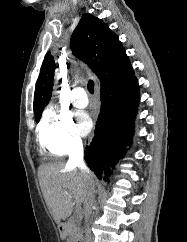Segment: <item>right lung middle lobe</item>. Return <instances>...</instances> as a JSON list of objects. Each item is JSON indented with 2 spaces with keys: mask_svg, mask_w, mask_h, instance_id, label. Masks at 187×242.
<instances>
[{
  "mask_svg": "<svg viewBox=\"0 0 187 242\" xmlns=\"http://www.w3.org/2000/svg\"><path fill=\"white\" fill-rule=\"evenodd\" d=\"M40 117H41V116H37V117H35V118H36V122H39Z\"/></svg>",
  "mask_w": 187,
  "mask_h": 242,
  "instance_id": "right-lung-middle-lobe-1",
  "label": "right lung middle lobe"
}]
</instances>
